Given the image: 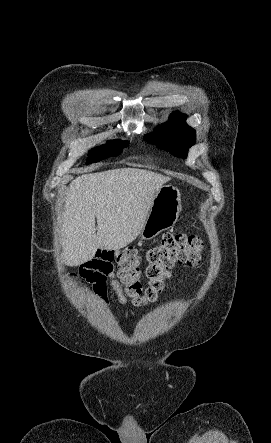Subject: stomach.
<instances>
[{
	"label": "stomach",
	"mask_w": 271,
	"mask_h": 443,
	"mask_svg": "<svg viewBox=\"0 0 271 443\" xmlns=\"http://www.w3.org/2000/svg\"><path fill=\"white\" fill-rule=\"evenodd\" d=\"M181 194L174 186H162L153 198L148 216L139 233L141 239H152L164 229H171L181 212Z\"/></svg>",
	"instance_id": "obj_1"
}]
</instances>
